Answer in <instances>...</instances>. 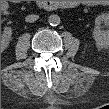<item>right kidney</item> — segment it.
<instances>
[{
    "label": "right kidney",
    "instance_id": "1",
    "mask_svg": "<svg viewBox=\"0 0 109 109\" xmlns=\"http://www.w3.org/2000/svg\"><path fill=\"white\" fill-rule=\"evenodd\" d=\"M12 35V29L7 27L4 29L3 34L1 35V49L5 50L10 42V38Z\"/></svg>",
    "mask_w": 109,
    "mask_h": 109
}]
</instances>
